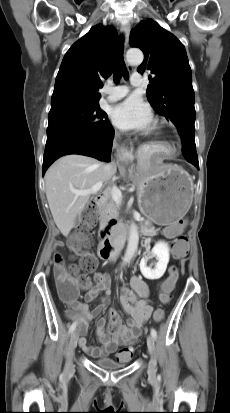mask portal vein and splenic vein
Masks as SVG:
<instances>
[{
  "instance_id": "obj_1",
  "label": "portal vein and splenic vein",
  "mask_w": 230,
  "mask_h": 413,
  "mask_svg": "<svg viewBox=\"0 0 230 413\" xmlns=\"http://www.w3.org/2000/svg\"><path fill=\"white\" fill-rule=\"evenodd\" d=\"M102 185H103V182H97L95 185H93L88 190H72V192L75 195H78V196H86V195L96 194L97 192H99L101 190ZM110 193H111V196H112L114 201H116L118 203H120L122 201V193L118 188L112 187L110 189ZM137 217H139V215H137Z\"/></svg>"
}]
</instances>
